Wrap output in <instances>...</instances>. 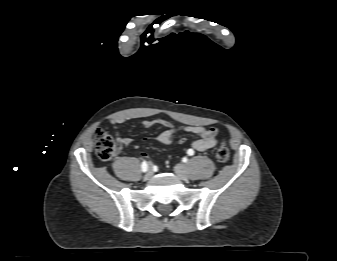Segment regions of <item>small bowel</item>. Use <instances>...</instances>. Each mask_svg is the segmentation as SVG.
Instances as JSON below:
<instances>
[{"instance_id":"1","label":"small bowel","mask_w":337,"mask_h":261,"mask_svg":"<svg viewBox=\"0 0 337 261\" xmlns=\"http://www.w3.org/2000/svg\"><path fill=\"white\" fill-rule=\"evenodd\" d=\"M122 122L123 121L120 119H115L111 121V124L116 126L121 124ZM155 124H160L166 127V130H164L156 137H144L143 140L145 142L155 141L162 145H170L173 143L175 135L179 131H184L194 134L196 136V139L193 140L190 144L193 151H206L208 149L214 148L218 144L217 129L215 127H206L202 125H185L176 128L170 121L163 119L144 120L142 122L144 128H150ZM117 142L119 146H129L132 144V139L128 137H121L119 134H117ZM184 142V138L179 139L180 144H183ZM141 155L145 156L144 153H142Z\"/></svg>"}]
</instances>
